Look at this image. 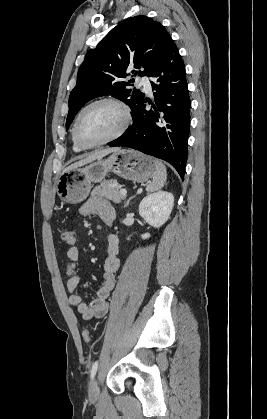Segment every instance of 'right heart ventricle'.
<instances>
[{
    "mask_svg": "<svg viewBox=\"0 0 267 419\" xmlns=\"http://www.w3.org/2000/svg\"><path fill=\"white\" fill-rule=\"evenodd\" d=\"M73 148H74V150L75 151H77V152H80V151H82L83 150V148H81L76 142H75V140H74V138H73Z\"/></svg>",
    "mask_w": 267,
    "mask_h": 419,
    "instance_id": "obj_1",
    "label": "right heart ventricle"
}]
</instances>
